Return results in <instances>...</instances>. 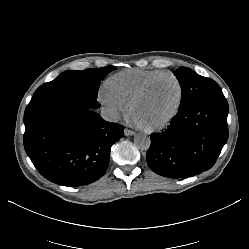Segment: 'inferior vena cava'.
<instances>
[{"instance_id":"inferior-vena-cava-1","label":"inferior vena cava","mask_w":249,"mask_h":249,"mask_svg":"<svg viewBox=\"0 0 249 249\" xmlns=\"http://www.w3.org/2000/svg\"><path fill=\"white\" fill-rule=\"evenodd\" d=\"M100 115L104 120H106L108 122L116 123L118 121L117 114L111 109L102 108L100 111Z\"/></svg>"}]
</instances>
